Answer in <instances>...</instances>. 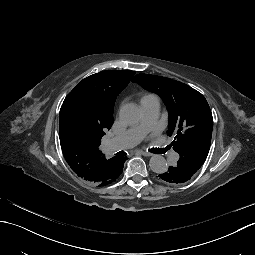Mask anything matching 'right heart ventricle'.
Wrapping results in <instances>:
<instances>
[{
	"mask_svg": "<svg viewBox=\"0 0 255 255\" xmlns=\"http://www.w3.org/2000/svg\"><path fill=\"white\" fill-rule=\"evenodd\" d=\"M154 100H158L157 96L153 93H146L144 94L141 99H140V104L144 103V102H150V101H154Z\"/></svg>",
	"mask_w": 255,
	"mask_h": 255,
	"instance_id": "e07e8e85",
	"label": "right heart ventricle"
}]
</instances>
